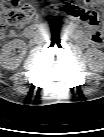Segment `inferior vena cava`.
<instances>
[{
  "label": "inferior vena cava",
  "instance_id": "602c4592",
  "mask_svg": "<svg viewBox=\"0 0 104 137\" xmlns=\"http://www.w3.org/2000/svg\"><path fill=\"white\" fill-rule=\"evenodd\" d=\"M35 40H36V42L41 43V42H43L44 37H43V35L38 34V35H36Z\"/></svg>",
  "mask_w": 104,
  "mask_h": 137
}]
</instances>
